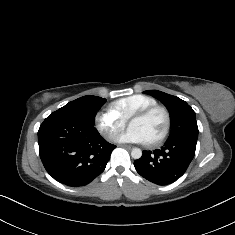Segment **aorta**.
I'll return each instance as SVG.
<instances>
[{
    "mask_svg": "<svg viewBox=\"0 0 235 235\" xmlns=\"http://www.w3.org/2000/svg\"><path fill=\"white\" fill-rule=\"evenodd\" d=\"M131 156L134 159H139L142 156V150L139 148H133L131 151Z\"/></svg>",
    "mask_w": 235,
    "mask_h": 235,
    "instance_id": "1",
    "label": "aorta"
}]
</instances>
